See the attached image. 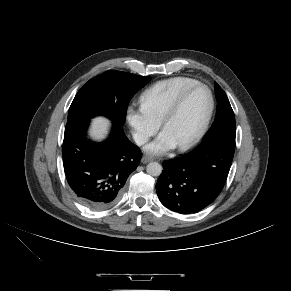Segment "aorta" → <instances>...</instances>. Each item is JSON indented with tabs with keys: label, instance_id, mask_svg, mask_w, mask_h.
<instances>
[{
	"label": "aorta",
	"instance_id": "aorta-1",
	"mask_svg": "<svg viewBox=\"0 0 291 291\" xmlns=\"http://www.w3.org/2000/svg\"><path fill=\"white\" fill-rule=\"evenodd\" d=\"M146 171L151 176H159L162 172V166L157 162H151L147 165Z\"/></svg>",
	"mask_w": 291,
	"mask_h": 291
}]
</instances>
